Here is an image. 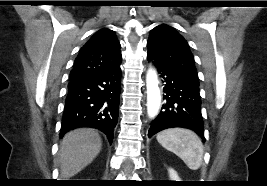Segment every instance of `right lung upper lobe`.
<instances>
[{
  "label": "right lung upper lobe",
  "mask_w": 267,
  "mask_h": 186,
  "mask_svg": "<svg viewBox=\"0 0 267 186\" xmlns=\"http://www.w3.org/2000/svg\"><path fill=\"white\" fill-rule=\"evenodd\" d=\"M121 60L120 43L114 32L103 28L80 49L70 78L118 65Z\"/></svg>",
  "instance_id": "obj_1"
}]
</instances>
